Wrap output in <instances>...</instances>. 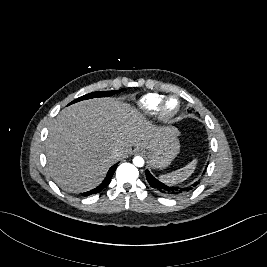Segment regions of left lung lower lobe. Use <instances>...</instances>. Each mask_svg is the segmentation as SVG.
<instances>
[{"instance_id":"obj_1","label":"left lung lower lobe","mask_w":267,"mask_h":267,"mask_svg":"<svg viewBox=\"0 0 267 267\" xmlns=\"http://www.w3.org/2000/svg\"><path fill=\"white\" fill-rule=\"evenodd\" d=\"M145 173L149 185L157 192L169 197L184 195L193 190L199 184V181H196L195 183L187 186L166 185L154 177L148 170H146Z\"/></svg>"}]
</instances>
